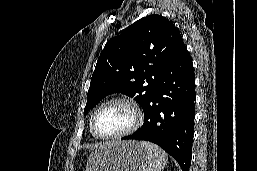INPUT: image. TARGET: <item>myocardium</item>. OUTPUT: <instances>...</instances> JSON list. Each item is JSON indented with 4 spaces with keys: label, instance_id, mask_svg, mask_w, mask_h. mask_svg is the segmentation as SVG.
<instances>
[{
    "label": "myocardium",
    "instance_id": "myocardium-1",
    "mask_svg": "<svg viewBox=\"0 0 257 171\" xmlns=\"http://www.w3.org/2000/svg\"><path fill=\"white\" fill-rule=\"evenodd\" d=\"M113 104H125L128 107H130L135 115L134 123L128 129H126L125 131L120 132L118 134L102 135L96 129V118H97L98 114L104 108H106L107 106L113 105ZM143 120H144V114H143L141 108L139 107V105L133 99L128 98V97H117V98L107 100L104 103H102L100 106L97 107V109L94 111V113L91 116L90 129H91L92 134L99 139L116 140V139H121L126 136H129L132 133H134L135 131H137L140 128V126L142 125Z\"/></svg>",
    "mask_w": 257,
    "mask_h": 171
}]
</instances>
